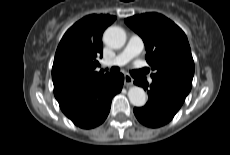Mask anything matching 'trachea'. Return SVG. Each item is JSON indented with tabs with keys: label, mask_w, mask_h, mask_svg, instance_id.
<instances>
[{
	"label": "trachea",
	"mask_w": 230,
	"mask_h": 155,
	"mask_svg": "<svg viewBox=\"0 0 230 155\" xmlns=\"http://www.w3.org/2000/svg\"><path fill=\"white\" fill-rule=\"evenodd\" d=\"M110 72L112 73V74H116V73H118L119 72V68L118 67H111L110 68Z\"/></svg>",
	"instance_id": "3493384b"
}]
</instances>
